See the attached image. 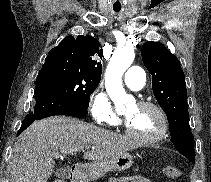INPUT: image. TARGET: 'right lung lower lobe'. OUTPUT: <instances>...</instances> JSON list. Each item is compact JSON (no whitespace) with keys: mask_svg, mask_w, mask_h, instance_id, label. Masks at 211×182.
<instances>
[{"mask_svg":"<svg viewBox=\"0 0 211 182\" xmlns=\"http://www.w3.org/2000/svg\"><path fill=\"white\" fill-rule=\"evenodd\" d=\"M35 100V106L25 117L17 135L23 132L34 120L54 115L83 117L87 114V110L79 108L66 97L45 88L35 87Z\"/></svg>","mask_w":211,"mask_h":182,"instance_id":"obj_1","label":"right lung lower lobe"}]
</instances>
